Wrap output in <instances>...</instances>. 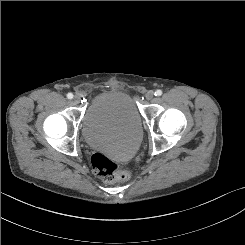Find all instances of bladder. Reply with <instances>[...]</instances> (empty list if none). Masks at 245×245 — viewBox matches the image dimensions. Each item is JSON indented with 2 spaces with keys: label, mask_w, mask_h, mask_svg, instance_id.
I'll return each mask as SVG.
<instances>
[{
  "label": "bladder",
  "mask_w": 245,
  "mask_h": 245,
  "mask_svg": "<svg viewBox=\"0 0 245 245\" xmlns=\"http://www.w3.org/2000/svg\"><path fill=\"white\" fill-rule=\"evenodd\" d=\"M81 133L92 148L117 156L135 152L142 139V124L131 96L122 91H106L96 96L84 113Z\"/></svg>",
  "instance_id": "31cf9c89"
}]
</instances>
